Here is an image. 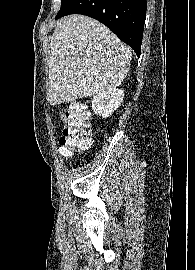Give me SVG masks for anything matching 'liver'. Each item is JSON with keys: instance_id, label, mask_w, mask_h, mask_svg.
I'll return each mask as SVG.
<instances>
[{"instance_id": "obj_1", "label": "liver", "mask_w": 195, "mask_h": 270, "mask_svg": "<svg viewBox=\"0 0 195 270\" xmlns=\"http://www.w3.org/2000/svg\"><path fill=\"white\" fill-rule=\"evenodd\" d=\"M132 53L106 26L83 15L61 19L51 38L47 100L53 104L115 89Z\"/></svg>"}]
</instances>
